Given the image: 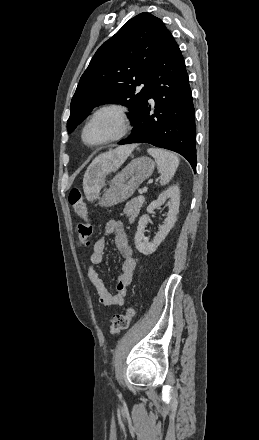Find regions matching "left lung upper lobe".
Returning a JSON list of instances; mask_svg holds the SVG:
<instances>
[{
  "label": "left lung upper lobe",
  "instance_id": "left-lung-upper-lobe-1",
  "mask_svg": "<svg viewBox=\"0 0 259 440\" xmlns=\"http://www.w3.org/2000/svg\"><path fill=\"white\" fill-rule=\"evenodd\" d=\"M171 33L154 15L143 12L130 19L96 51L81 76L71 101L67 130L71 133L96 106H127L133 124L147 102L152 72ZM144 84L141 91L137 86Z\"/></svg>",
  "mask_w": 259,
  "mask_h": 440
}]
</instances>
